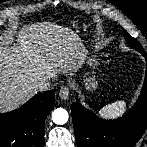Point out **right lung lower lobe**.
<instances>
[{"label": "right lung lower lobe", "mask_w": 147, "mask_h": 147, "mask_svg": "<svg viewBox=\"0 0 147 147\" xmlns=\"http://www.w3.org/2000/svg\"><path fill=\"white\" fill-rule=\"evenodd\" d=\"M54 94H37L19 109L0 114V147H43L44 122L54 107Z\"/></svg>", "instance_id": "1"}]
</instances>
